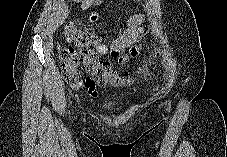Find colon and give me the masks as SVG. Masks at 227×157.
I'll list each match as a JSON object with an SVG mask.
<instances>
[{"mask_svg":"<svg viewBox=\"0 0 227 157\" xmlns=\"http://www.w3.org/2000/svg\"><path fill=\"white\" fill-rule=\"evenodd\" d=\"M64 37L79 48L58 45L57 52L62 75L73 88L82 84L81 72L87 74L86 83L93 85L122 86L129 81L126 75H119L111 70L108 63L98 59L100 37L90 29H78L67 22L63 29Z\"/></svg>","mask_w":227,"mask_h":157,"instance_id":"obj_1","label":"colon"}]
</instances>
